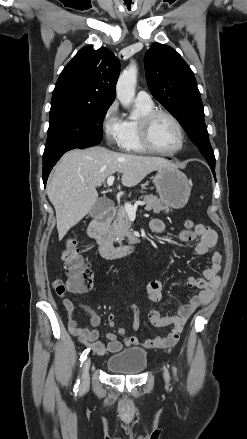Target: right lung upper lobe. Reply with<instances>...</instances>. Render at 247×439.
I'll list each match as a JSON object with an SVG mask.
<instances>
[{"label": "right lung upper lobe", "mask_w": 247, "mask_h": 439, "mask_svg": "<svg viewBox=\"0 0 247 439\" xmlns=\"http://www.w3.org/2000/svg\"><path fill=\"white\" fill-rule=\"evenodd\" d=\"M119 72V60L109 49L83 47L61 72L51 106L63 103L110 106L115 99Z\"/></svg>", "instance_id": "obj_1"}]
</instances>
